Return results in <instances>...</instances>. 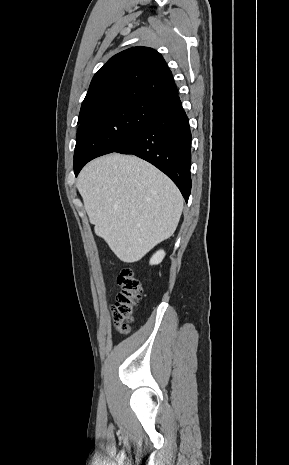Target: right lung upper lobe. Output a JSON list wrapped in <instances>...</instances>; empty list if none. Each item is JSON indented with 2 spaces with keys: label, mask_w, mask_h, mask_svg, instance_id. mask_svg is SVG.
I'll use <instances>...</instances> for the list:
<instances>
[{
  "label": "right lung upper lobe",
  "mask_w": 289,
  "mask_h": 465,
  "mask_svg": "<svg viewBox=\"0 0 289 465\" xmlns=\"http://www.w3.org/2000/svg\"><path fill=\"white\" fill-rule=\"evenodd\" d=\"M176 95L172 73L162 55L152 48L132 47L114 55L94 75L78 122L115 103L138 100L162 104Z\"/></svg>",
  "instance_id": "right-lung-upper-lobe-1"
}]
</instances>
